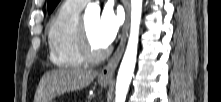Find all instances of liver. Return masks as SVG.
<instances>
[{
	"mask_svg": "<svg viewBox=\"0 0 221 102\" xmlns=\"http://www.w3.org/2000/svg\"><path fill=\"white\" fill-rule=\"evenodd\" d=\"M96 71L82 68H62L47 72L41 78L34 102H51L66 92L81 90L94 80Z\"/></svg>",
	"mask_w": 221,
	"mask_h": 102,
	"instance_id": "6515ba94",
	"label": "liver"
}]
</instances>
